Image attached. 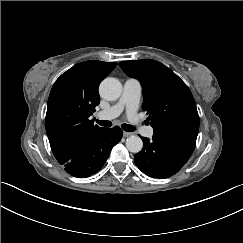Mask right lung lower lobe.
<instances>
[{
	"instance_id": "obj_1",
	"label": "right lung lower lobe",
	"mask_w": 243,
	"mask_h": 243,
	"mask_svg": "<svg viewBox=\"0 0 243 243\" xmlns=\"http://www.w3.org/2000/svg\"><path fill=\"white\" fill-rule=\"evenodd\" d=\"M122 130L102 128L92 134L86 142L69 155L63 164L67 173L75 177H89L99 171L113 148L122 138Z\"/></svg>"
}]
</instances>
